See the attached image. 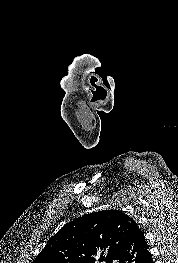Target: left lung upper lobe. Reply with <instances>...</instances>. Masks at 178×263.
I'll return each mask as SVG.
<instances>
[{
  "mask_svg": "<svg viewBox=\"0 0 178 263\" xmlns=\"http://www.w3.org/2000/svg\"><path fill=\"white\" fill-rule=\"evenodd\" d=\"M133 221L113 209L84 215L51 237L33 263H112Z\"/></svg>",
  "mask_w": 178,
  "mask_h": 263,
  "instance_id": "left-lung-upper-lobe-1",
  "label": "left lung upper lobe"
}]
</instances>
